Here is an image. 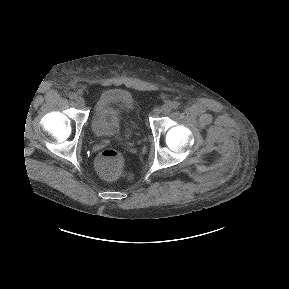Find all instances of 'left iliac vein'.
<instances>
[{
    "label": "left iliac vein",
    "mask_w": 289,
    "mask_h": 289,
    "mask_svg": "<svg viewBox=\"0 0 289 289\" xmlns=\"http://www.w3.org/2000/svg\"><path fill=\"white\" fill-rule=\"evenodd\" d=\"M171 111V106L169 104H164L160 108V113L168 114Z\"/></svg>",
    "instance_id": "obj_1"
}]
</instances>
